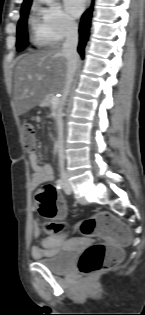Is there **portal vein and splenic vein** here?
Listing matches in <instances>:
<instances>
[{
	"instance_id": "18ae733b",
	"label": "portal vein and splenic vein",
	"mask_w": 145,
	"mask_h": 315,
	"mask_svg": "<svg viewBox=\"0 0 145 315\" xmlns=\"http://www.w3.org/2000/svg\"><path fill=\"white\" fill-rule=\"evenodd\" d=\"M51 102H52V105H57L58 102H59L58 97L57 96H53Z\"/></svg>"
}]
</instances>
